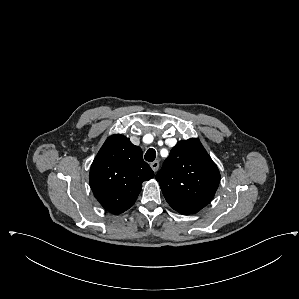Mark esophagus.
<instances>
[{
  "instance_id": "esophagus-1",
  "label": "esophagus",
  "mask_w": 299,
  "mask_h": 299,
  "mask_svg": "<svg viewBox=\"0 0 299 299\" xmlns=\"http://www.w3.org/2000/svg\"><path fill=\"white\" fill-rule=\"evenodd\" d=\"M159 161L158 160H155L153 161L151 164H150V167L152 168V170L154 172H157V170L159 169Z\"/></svg>"
}]
</instances>
